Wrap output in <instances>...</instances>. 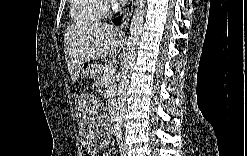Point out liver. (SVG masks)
<instances>
[{"mask_svg": "<svg viewBox=\"0 0 247 156\" xmlns=\"http://www.w3.org/2000/svg\"><path fill=\"white\" fill-rule=\"evenodd\" d=\"M123 33L107 23H83L70 25L64 34V53L73 82L77 81L83 63L119 53Z\"/></svg>", "mask_w": 247, "mask_h": 156, "instance_id": "1", "label": "liver"}]
</instances>
